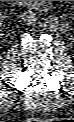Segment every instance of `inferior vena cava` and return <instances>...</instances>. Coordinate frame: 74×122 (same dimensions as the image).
<instances>
[{"mask_svg": "<svg viewBox=\"0 0 74 122\" xmlns=\"http://www.w3.org/2000/svg\"><path fill=\"white\" fill-rule=\"evenodd\" d=\"M21 20L28 26L35 24L36 22V14L31 10L24 11L21 14Z\"/></svg>", "mask_w": 74, "mask_h": 122, "instance_id": "602c4592", "label": "inferior vena cava"}]
</instances>
